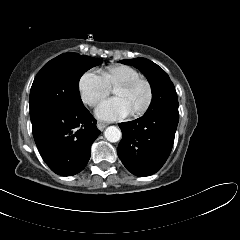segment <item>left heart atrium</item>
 I'll use <instances>...</instances> for the list:
<instances>
[{
  "label": "left heart atrium",
  "mask_w": 240,
  "mask_h": 240,
  "mask_svg": "<svg viewBox=\"0 0 240 240\" xmlns=\"http://www.w3.org/2000/svg\"><path fill=\"white\" fill-rule=\"evenodd\" d=\"M131 112L128 102L116 96L101 102L95 110V115L103 121H115L127 117Z\"/></svg>",
  "instance_id": "1"
}]
</instances>
